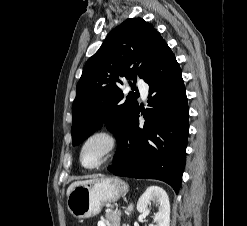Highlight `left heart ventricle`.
<instances>
[{
    "label": "left heart ventricle",
    "mask_w": 247,
    "mask_h": 226,
    "mask_svg": "<svg viewBox=\"0 0 247 226\" xmlns=\"http://www.w3.org/2000/svg\"><path fill=\"white\" fill-rule=\"evenodd\" d=\"M107 143L104 139L97 138L88 143L83 153V160L86 165L97 163L104 155Z\"/></svg>",
    "instance_id": "b2bd125f"
}]
</instances>
